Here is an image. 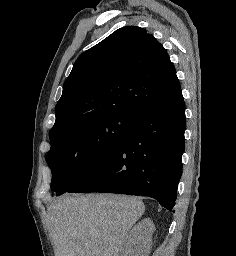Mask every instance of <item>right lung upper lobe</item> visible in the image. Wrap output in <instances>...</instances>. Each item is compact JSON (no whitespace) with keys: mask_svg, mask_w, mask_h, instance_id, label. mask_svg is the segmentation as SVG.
<instances>
[{"mask_svg":"<svg viewBox=\"0 0 236 256\" xmlns=\"http://www.w3.org/2000/svg\"><path fill=\"white\" fill-rule=\"evenodd\" d=\"M180 90L162 44L143 28H120L74 63L55 107L50 135L110 115L138 119Z\"/></svg>","mask_w":236,"mask_h":256,"instance_id":"right-lung-upper-lobe-1","label":"right lung upper lobe"}]
</instances>
